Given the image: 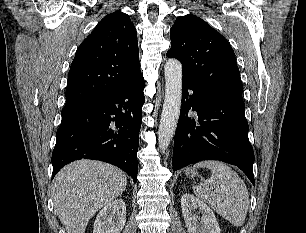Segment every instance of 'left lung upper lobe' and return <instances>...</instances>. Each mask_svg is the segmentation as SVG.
Wrapping results in <instances>:
<instances>
[{
  "mask_svg": "<svg viewBox=\"0 0 306 233\" xmlns=\"http://www.w3.org/2000/svg\"><path fill=\"white\" fill-rule=\"evenodd\" d=\"M168 57L182 63L183 78L195 84L242 94V82L229 42L201 18L176 19L170 30Z\"/></svg>",
  "mask_w": 306,
  "mask_h": 233,
  "instance_id": "5c2ea615",
  "label": "left lung upper lobe"
}]
</instances>
